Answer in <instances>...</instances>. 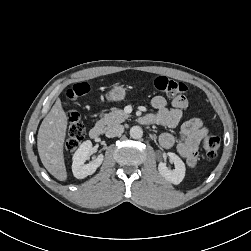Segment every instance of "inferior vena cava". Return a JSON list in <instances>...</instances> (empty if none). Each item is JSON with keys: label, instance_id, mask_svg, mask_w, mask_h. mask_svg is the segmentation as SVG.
<instances>
[{"label": "inferior vena cava", "instance_id": "1", "mask_svg": "<svg viewBox=\"0 0 251 251\" xmlns=\"http://www.w3.org/2000/svg\"><path fill=\"white\" fill-rule=\"evenodd\" d=\"M124 132V126L123 125H116L111 128H109L106 131V137L112 138L116 136H120Z\"/></svg>", "mask_w": 251, "mask_h": 251}]
</instances>
